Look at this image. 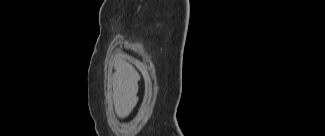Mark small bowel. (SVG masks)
I'll return each instance as SVG.
<instances>
[{
    "mask_svg": "<svg viewBox=\"0 0 325 136\" xmlns=\"http://www.w3.org/2000/svg\"><path fill=\"white\" fill-rule=\"evenodd\" d=\"M116 105L120 113L125 114L137 100L138 78L132 73L118 77Z\"/></svg>",
    "mask_w": 325,
    "mask_h": 136,
    "instance_id": "small-bowel-1",
    "label": "small bowel"
}]
</instances>
